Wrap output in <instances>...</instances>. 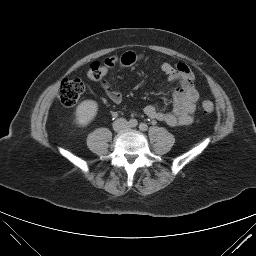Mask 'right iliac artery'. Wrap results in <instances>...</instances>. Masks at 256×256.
<instances>
[{"label":"right iliac artery","mask_w":256,"mask_h":256,"mask_svg":"<svg viewBox=\"0 0 256 256\" xmlns=\"http://www.w3.org/2000/svg\"><path fill=\"white\" fill-rule=\"evenodd\" d=\"M128 124L130 127H136L138 125V122L136 119H130Z\"/></svg>","instance_id":"obj_1"}]
</instances>
